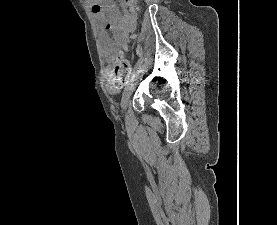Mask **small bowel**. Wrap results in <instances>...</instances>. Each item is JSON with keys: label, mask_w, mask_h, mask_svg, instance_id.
<instances>
[{"label": "small bowel", "mask_w": 277, "mask_h": 225, "mask_svg": "<svg viewBox=\"0 0 277 225\" xmlns=\"http://www.w3.org/2000/svg\"><path fill=\"white\" fill-rule=\"evenodd\" d=\"M135 0H122V6L133 7ZM94 20L101 31V38L104 44V51L109 55L113 51L114 44H120L127 40L128 33L134 28L135 14L127 13L124 16L120 11L111 5L92 3L90 5ZM108 31H112L114 44H112ZM107 88L111 93H117L119 86L113 83L112 76L108 75L106 80Z\"/></svg>", "instance_id": "obj_1"}]
</instances>
